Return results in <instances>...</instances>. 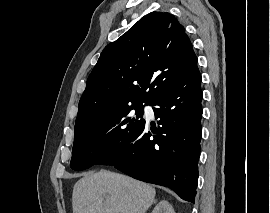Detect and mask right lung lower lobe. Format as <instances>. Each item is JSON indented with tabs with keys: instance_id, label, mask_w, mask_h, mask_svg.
Wrapping results in <instances>:
<instances>
[{
	"instance_id": "obj_1",
	"label": "right lung lower lobe",
	"mask_w": 270,
	"mask_h": 213,
	"mask_svg": "<svg viewBox=\"0 0 270 213\" xmlns=\"http://www.w3.org/2000/svg\"><path fill=\"white\" fill-rule=\"evenodd\" d=\"M201 74L197 66L150 105L160 118L158 129L145 123L98 164L113 165L127 175L174 190L194 202L202 134Z\"/></svg>"
}]
</instances>
